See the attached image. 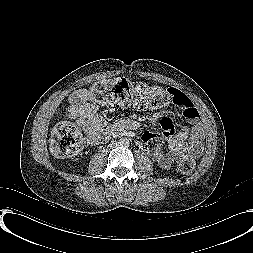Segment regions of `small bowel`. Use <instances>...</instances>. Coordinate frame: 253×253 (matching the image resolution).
Listing matches in <instances>:
<instances>
[{
  "mask_svg": "<svg viewBox=\"0 0 253 253\" xmlns=\"http://www.w3.org/2000/svg\"><path fill=\"white\" fill-rule=\"evenodd\" d=\"M170 89L177 93L173 103L182 109L183 115L192 125L184 126L176 132L169 115L163 113L157 117L163 127V132H143L141 136L143 143L156 142L148 153L162 169H169L175 161L186 155L198 157L204 147L203 131L199 124L197 107L184 93L174 88ZM68 113L75 119L76 124L84 130L88 142L92 145L101 143L131 124L130 121H123L108 126L105 119L97 113V105L85 89L77 90L70 95ZM160 140L166 141L168 147L166 152L163 151L159 143Z\"/></svg>",
  "mask_w": 253,
  "mask_h": 253,
  "instance_id": "obj_1",
  "label": "small bowel"
}]
</instances>
